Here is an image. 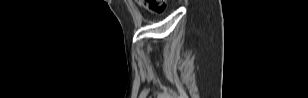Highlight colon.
Here are the masks:
<instances>
[{
    "label": "colon",
    "mask_w": 308,
    "mask_h": 98,
    "mask_svg": "<svg viewBox=\"0 0 308 98\" xmlns=\"http://www.w3.org/2000/svg\"><path fill=\"white\" fill-rule=\"evenodd\" d=\"M137 2L156 14H161L165 10V2L163 0H138Z\"/></svg>",
    "instance_id": "5ec220e1"
}]
</instances>
